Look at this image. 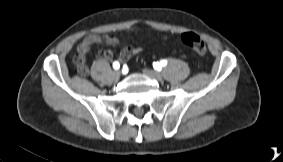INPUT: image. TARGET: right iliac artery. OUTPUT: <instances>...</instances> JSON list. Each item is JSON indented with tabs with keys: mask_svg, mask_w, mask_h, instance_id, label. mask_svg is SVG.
<instances>
[{
	"mask_svg": "<svg viewBox=\"0 0 283 162\" xmlns=\"http://www.w3.org/2000/svg\"><path fill=\"white\" fill-rule=\"evenodd\" d=\"M119 67H120L119 62H118V61H115V62L113 63V68H114V69H119Z\"/></svg>",
	"mask_w": 283,
	"mask_h": 162,
	"instance_id": "right-iliac-artery-1",
	"label": "right iliac artery"
}]
</instances>
